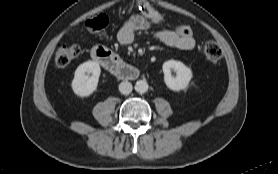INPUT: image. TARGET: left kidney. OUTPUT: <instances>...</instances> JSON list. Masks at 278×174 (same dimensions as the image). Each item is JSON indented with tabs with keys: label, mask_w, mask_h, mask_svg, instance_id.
Instances as JSON below:
<instances>
[{
	"label": "left kidney",
	"mask_w": 278,
	"mask_h": 174,
	"mask_svg": "<svg viewBox=\"0 0 278 174\" xmlns=\"http://www.w3.org/2000/svg\"><path fill=\"white\" fill-rule=\"evenodd\" d=\"M164 81L166 86L172 91L184 90L188 87L192 79V71L180 61L168 60L162 66ZM171 70L176 72V76L171 75Z\"/></svg>",
	"instance_id": "5707ae66"
}]
</instances>
